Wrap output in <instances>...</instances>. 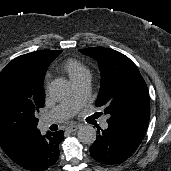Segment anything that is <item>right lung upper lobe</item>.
Instances as JSON below:
<instances>
[{"instance_id":"1","label":"right lung upper lobe","mask_w":171,"mask_h":171,"mask_svg":"<svg viewBox=\"0 0 171 171\" xmlns=\"http://www.w3.org/2000/svg\"><path fill=\"white\" fill-rule=\"evenodd\" d=\"M61 50H44L35 51L25 55L16 57L23 67L28 71L36 82L44 81V76L47 71V67L50 63L61 53ZM30 141H7L0 139V146L4 152L13 160L19 155L20 152L26 147Z\"/></svg>"}]
</instances>
